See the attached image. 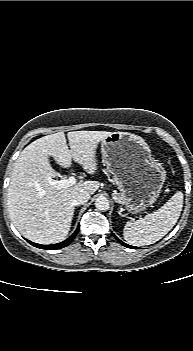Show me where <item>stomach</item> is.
<instances>
[{
  "mask_svg": "<svg viewBox=\"0 0 193 351\" xmlns=\"http://www.w3.org/2000/svg\"><path fill=\"white\" fill-rule=\"evenodd\" d=\"M103 161L125 194L128 212L138 214L159 198L166 171L145 140L128 132H113L101 143Z\"/></svg>",
  "mask_w": 193,
  "mask_h": 351,
  "instance_id": "0dacf381",
  "label": "stomach"
}]
</instances>
